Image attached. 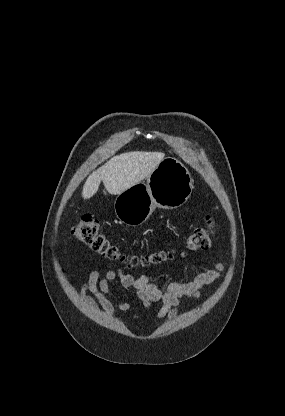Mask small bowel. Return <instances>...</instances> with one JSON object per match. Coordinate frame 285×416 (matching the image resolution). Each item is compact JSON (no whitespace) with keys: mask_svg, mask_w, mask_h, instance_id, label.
Here are the masks:
<instances>
[{"mask_svg":"<svg viewBox=\"0 0 285 416\" xmlns=\"http://www.w3.org/2000/svg\"><path fill=\"white\" fill-rule=\"evenodd\" d=\"M224 271V264L217 261L215 267L197 274L191 281L186 283L170 282L164 287L157 285L146 275L134 278L132 275L120 269L108 270L102 277L98 269L90 272L87 280L80 288V295L86 305L93 311H102L113 317L116 308L130 311V305L112 294L111 285L119 280L121 286L132 291L148 310L152 303L162 304L156 318L158 320H174L179 314V305L184 298L198 299L201 297L203 286L217 281ZM88 292L91 295H88Z\"/></svg>","mask_w":285,"mask_h":416,"instance_id":"small-bowel-1","label":"small bowel"}]
</instances>
